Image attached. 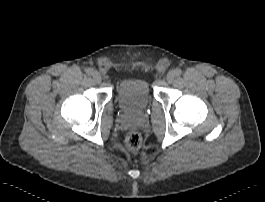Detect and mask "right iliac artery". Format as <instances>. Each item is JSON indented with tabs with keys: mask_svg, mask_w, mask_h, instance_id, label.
Instances as JSON below:
<instances>
[{
	"mask_svg": "<svg viewBox=\"0 0 265 202\" xmlns=\"http://www.w3.org/2000/svg\"><path fill=\"white\" fill-rule=\"evenodd\" d=\"M85 72H86L87 75H92L93 74V69L88 68V69L85 70Z\"/></svg>",
	"mask_w": 265,
	"mask_h": 202,
	"instance_id": "obj_1",
	"label": "right iliac artery"
}]
</instances>
